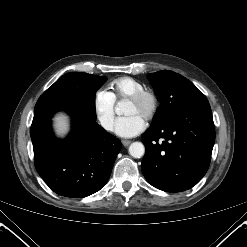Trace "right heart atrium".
<instances>
[{"label": "right heart atrium", "instance_id": "right-heart-atrium-1", "mask_svg": "<svg viewBox=\"0 0 247 247\" xmlns=\"http://www.w3.org/2000/svg\"><path fill=\"white\" fill-rule=\"evenodd\" d=\"M94 111L100 126L111 132L115 121V100L108 90L97 91L94 97Z\"/></svg>", "mask_w": 247, "mask_h": 247}]
</instances>
